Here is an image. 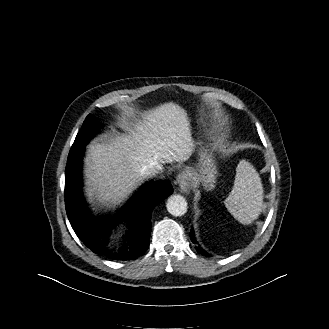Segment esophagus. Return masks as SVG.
Segmentation results:
<instances>
[{"label":"esophagus","mask_w":329,"mask_h":329,"mask_svg":"<svg viewBox=\"0 0 329 329\" xmlns=\"http://www.w3.org/2000/svg\"><path fill=\"white\" fill-rule=\"evenodd\" d=\"M177 183L181 192H188L190 190L189 177L185 172L178 174Z\"/></svg>","instance_id":"34e87169"}]
</instances>
